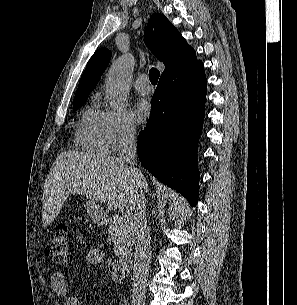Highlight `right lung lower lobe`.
<instances>
[{
    "label": "right lung lower lobe",
    "mask_w": 297,
    "mask_h": 305,
    "mask_svg": "<svg viewBox=\"0 0 297 305\" xmlns=\"http://www.w3.org/2000/svg\"><path fill=\"white\" fill-rule=\"evenodd\" d=\"M206 84L201 61L184 73L160 78L150 118L137 143L143 166L193 206L199 192L197 144L205 114Z\"/></svg>",
    "instance_id": "obj_1"
}]
</instances>
